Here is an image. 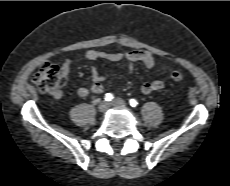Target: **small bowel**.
Instances as JSON below:
<instances>
[{"label": "small bowel", "instance_id": "c3829d8e", "mask_svg": "<svg viewBox=\"0 0 230 186\" xmlns=\"http://www.w3.org/2000/svg\"><path fill=\"white\" fill-rule=\"evenodd\" d=\"M85 58L89 61L106 60L109 62H119L125 60L127 62L128 72L132 73L136 63H142L147 68H152L155 65V58L149 51H129L126 53H108L97 49H90L85 52ZM71 69V60L65 59L62 64L61 70L65 76H68ZM168 70V67H164L161 73ZM92 84L81 86L78 88L77 93L81 97H87L91 94H101L105 91L103 84L105 76L101 74L94 66L91 67ZM164 88V82L162 80H152L144 82L141 86V91L144 94H150L155 91L162 90ZM57 98L61 97V94L56 95Z\"/></svg>", "mask_w": 230, "mask_h": 186}]
</instances>
